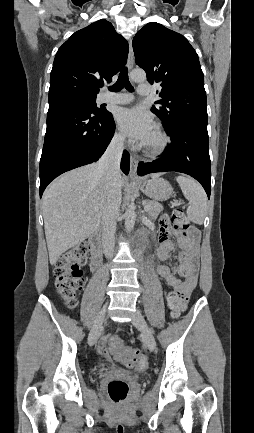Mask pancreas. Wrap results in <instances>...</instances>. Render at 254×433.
<instances>
[{
    "instance_id": "1",
    "label": "pancreas",
    "mask_w": 254,
    "mask_h": 433,
    "mask_svg": "<svg viewBox=\"0 0 254 433\" xmlns=\"http://www.w3.org/2000/svg\"><path fill=\"white\" fill-rule=\"evenodd\" d=\"M146 204L149 205V210L147 211V215L151 219H156L160 214V212L163 210V206L160 203L152 200L147 201Z\"/></svg>"
}]
</instances>
